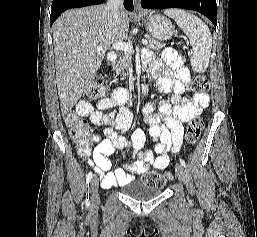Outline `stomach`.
<instances>
[{"label": "stomach", "mask_w": 257, "mask_h": 237, "mask_svg": "<svg viewBox=\"0 0 257 237\" xmlns=\"http://www.w3.org/2000/svg\"><path fill=\"white\" fill-rule=\"evenodd\" d=\"M144 23L148 33L156 40L165 41L175 33V27L172 22L160 14L145 12L139 16Z\"/></svg>", "instance_id": "1"}]
</instances>
